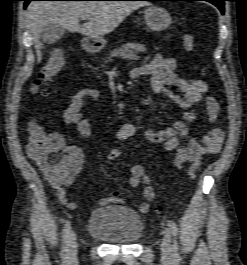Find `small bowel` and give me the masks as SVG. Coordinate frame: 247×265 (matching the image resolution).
Returning a JSON list of instances; mask_svg holds the SVG:
<instances>
[{"label":"small bowel","mask_w":247,"mask_h":265,"mask_svg":"<svg viewBox=\"0 0 247 265\" xmlns=\"http://www.w3.org/2000/svg\"><path fill=\"white\" fill-rule=\"evenodd\" d=\"M176 67L177 62L174 58L157 54L149 63L133 69L131 75L132 77L150 76L154 93L160 97H167L184 110L182 119L171 126L161 130L148 129L145 133L150 142L161 145L166 151L175 152L174 164L180 168L187 162L199 160L205 154L218 153L225 134L221 128L213 126L218 118L220 106L217 99L208 94L207 83L199 79L181 78L176 73ZM87 99L94 102L100 101V91L95 88L79 90L71 98L62 117L64 125L74 126L83 138H89L91 134L90 120L83 112ZM199 104L203 105L206 120L210 124L202 137H197L193 133V125L199 122V116L193 108ZM136 134L137 129L134 124L124 123L117 129L116 138L128 140ZM57 135L63 142L62 137ZM63 151L71 160L68 174L59 180L46 176L61 204L74 210L78 205L68 198L67 189L81 172L85 162V154L82 148L74 145L63 144ZM128 182L134 188L143 186L145 201L138 205V210L141 213H147L150 209V203L155 199V191L143 165L136 163L131 166ZM111 203H125L120 197L119 190H113L108 196L98 201L99 206Z\"/></svg>","instance_id":"1"}]
</instances>
